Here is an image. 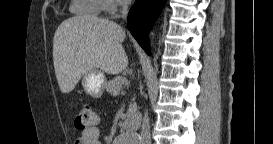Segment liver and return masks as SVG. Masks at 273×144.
<instances>
[{
  "label": "liver",
  "instance_id": "6515ba94",
  "mask_svg": "<svg viewBox=\"0 0 273 144\" xmlns=\"http://www.w3.org/2000/svg\"><path fill=\"white\" fill-rule=\"evenodd\" d=\"M125 31L117 23L95 16L64 20L53 38V63L62 93H70L88 71L116 75L126 69L128 58L122 46Z\"/></svg>",
  "mask_w": 273,
  "mask_h": 144
}]
</instances>
